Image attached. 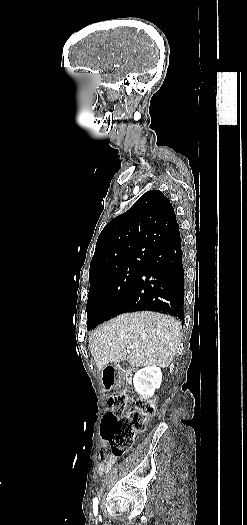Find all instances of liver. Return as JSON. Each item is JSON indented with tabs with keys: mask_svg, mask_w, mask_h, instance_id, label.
Instances as JSON below:
<instances>
[{
	"mask_svg": "<svg viewBox=\"0 0 247 525\" xmlns=\"http://www.w3.org/2000/svg\"><path fill=\"white\" fill-rule=\"evenodd\" d=\"M180 331L181 323L169 315L123 313L93 331L89 347L98 371L121 361H129L132 367L167 369L176 355Z\"/></svg>",
	"mask_w": 247,
	"mask_h": 525,
	"instance_id": "1",
	"label": "liver"
}]
</instances>
